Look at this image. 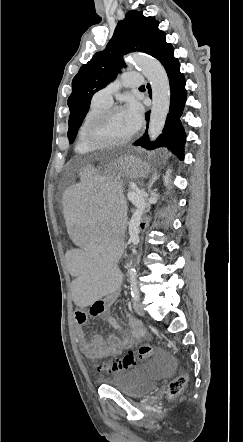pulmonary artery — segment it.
I'll return each mask as SVG.
<instances>
[{
  "label": "pulmonary artery",
  "mask_w": 243,
  "mask_h": 442,
  "mask_svg": "<svg viewBox=\"0 0 243 442\" xmlns=\"http://www.w3.org/2000/svg\"><path fill=\"white\" fill-rule=\"evenodd\" d=\"M142 85L141 74L137 72H126L121 79L111 82L106 87L100 89L94 94V99L111 105L113 94L121 87H137Z\"/></svg>",
  "instance_id": "pulmonary-artery-1"
}]
</instances>
